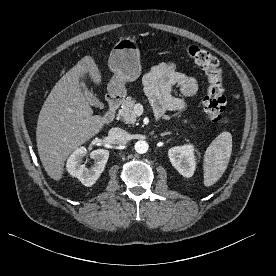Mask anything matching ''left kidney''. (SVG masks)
I'll list each match as a JSON object with an SVG mask.
<instances>
[{"mask_svg": "<svg viewBox=\"0 0 276 276\" xmlns=\"http://www.w3.org/2000/svg\"><path fill=\"white\" fill-rule=\"evenodd\" d=\"M173 167L184 177H191L196 168L195 148L192 144L176 146L168 151Z\"/></svg>", "mask_w": 276, "mask_h": 276, "instance_id": "5707ae66", "label": "left kidney"}]
</instances>
